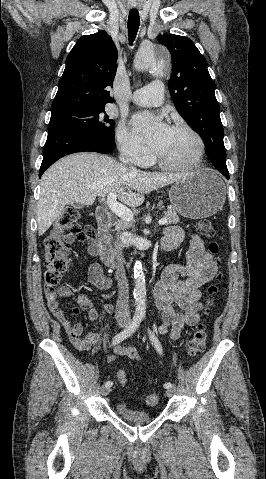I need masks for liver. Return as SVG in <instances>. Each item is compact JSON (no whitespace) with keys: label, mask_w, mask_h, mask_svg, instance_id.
Returning a JSON list of instances; mask_svg holds the SVG:
<instances>
[{"label":"liver","mask_w":266,"mask_h":479,"mask_svg":"<svg viewBox=\"0 0 266 479\" xmlns=\"http://www.w3.org/2000/svg\"><path fill=\"white\" fill-rule=\"evenodd\" d=\"M187 175L133 172L115 159L94 152L66 156L53 164L41 178L37 205L38 235L50 228L67 204L89 206L97 197L116 193L121 202L137 207L144 202V194Z\"/></svg>","instance_id":"6515ba94"}]
</instances>
